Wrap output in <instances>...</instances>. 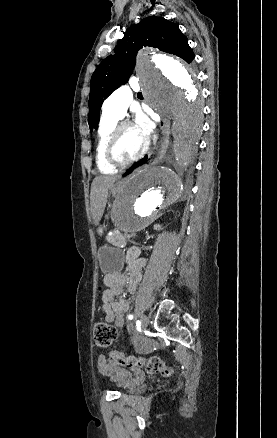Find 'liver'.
Here are the masks:
<instances>
[{
	"label": "liver",
	"instance_id": "liver-1",
	"mask_svg": "<svg viewBox=\"0 0 277 438\" xmlns=\"http://www.w3.org/2000/svg\"><path fill=\"white\" fill-rule=\"evenodd\" d=\"M118 176H98L91 186V212L94 224L98 226L107 204L108 190L112 188Z\"/></svg>",
	"mask_w": 277,
	"mask_h": 438
}]
</instances>
